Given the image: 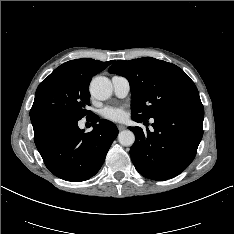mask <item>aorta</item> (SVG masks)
<instances>
[{"label":"aorta","instance_id":"aorta-1","mask_svg":"<svg viewBox=\"0 0 234 234\" xmlns=\"http://www.w3.org/2000/svg\"><path fill=\"white\" fill-rule=\"evenodd\" d=\"M91 95L97 100H107L112 94V83L106 77H95L89 87ZM118 141L123 146H131L135 141V136L130 130H123L118 134Z\"/></svg>","mask_w":234,"mask_h":234}]
</instances>
